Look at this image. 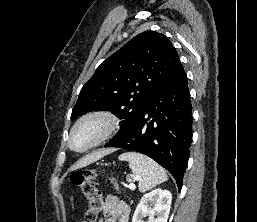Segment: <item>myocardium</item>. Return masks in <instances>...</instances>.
I'll return each mask as SVG.
<instances>
[{"instance_id": "obj_1", "label": "myocardium", "mask_w": 257, "mask_h": 222, "mask_svg": "<svg viewBox=\"0 0 257 222\" xmlns=\"http://www.w3.org/2000/svg\"><path fill=\"white\" fill-rule=\"evenodd\" d=\"M91 120H98V121L102 122L103 131H102L101 135L98 137V139L94 143H92L88 147L81 149V150L75 149L72 145V138H73V134H74L75 130L83 123H85L87 121H91ZM119 128H120V118L113 111H111L109 109H96V110L89 111V112L83 114L81 117H79L76 120V122L73 124V126L71 127L70 132H69V137H68V146L74 152H78V153L87 152V151L101 145L108 139H110L112 136H114L117 133Z\"/></svg>"}]
</instances>
